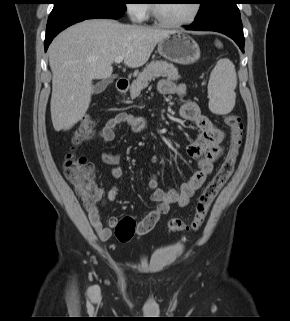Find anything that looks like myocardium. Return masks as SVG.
<instances>
[{
	"label": "myocardium",
	"instance_id": "obj_1",
	"mask_svg": "<svg viewBox=\"0 0 290 321\" xmlns=\"http://www.w3.org/2000/svg\"><path fill=\"white\" fill-rule=\"evenodd\" d=\"M160 1L161 0H154L151 3V12H152L153 18L156 21V23L158 25L164 26V27H180V26L189 25L197 19L198 15L201 11V4L199 3L198 0H195L193 12L189 18H187L185 20H180V21H172V20H168L162 16V14L160 12V8H159Z\"/></svg>",
	"mask_w": 290,
	"mask_h": 321
}]
</instances>
